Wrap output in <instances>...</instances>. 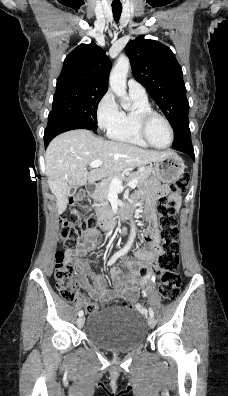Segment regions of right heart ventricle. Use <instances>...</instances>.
I'll return each mask as SVG.
<instances>
[{
  "mask_svg": "<svg viewBox=\"0 0 228 396\" xmlns=\"http://www.w3.org/2000/svg\"><path fill=\"white\" fill-rule=\"evenodd\" d=\"M134 106L131 110L121 111L119 122L108 130V136L116 141H121L134 146L147 148L148 145L141 138L136 121L137 111L153 110L147 97L131 95Z\"/></svg>",
  "mask_w": 228,
  "mask_h": 396,
  "instance_id": "right-heart-ventricle-1",
  "label": "right heart ventricle"
}]
</instances>
